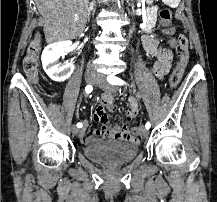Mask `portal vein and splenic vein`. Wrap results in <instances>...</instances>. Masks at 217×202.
<instances>
[{
  "instance_id": "18ae733b",
  "label": "portal vein and splenic vein",
  "mask_w": 217,
  "mask_h": 202,
  "mask_svg": "<svg viewBox=\"0 0 217 202\" xmlns=\"http://www.w3.org/2000/svg\"><path fill=\"white\" fill-rule=\"evenodd\" d=\"M74 20L75 22H78V16H75Z\"/></svg>"
}]
</instances>
